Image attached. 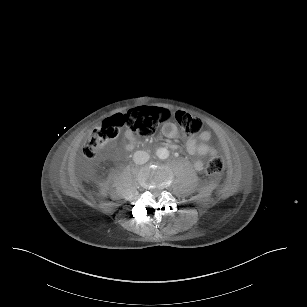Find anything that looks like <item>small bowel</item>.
<instances>
[{
	"label": "small bowel",
	"instance_id": "small-bowel-1",
	"mask_svg": "<svg viewBox=\"0 0 307 307\" xmlns=\"http://www.w3.org/2000/svg\"><path fill=\"white\" fill-rule=\"evenodd\" d=\"M163 134L168 138H174L178 135L177 127L172 123H166L162 129ZM127 146L128 148H133L137 143L135 136L128 132L126 133ZM211 139V133L207 130L201 131L198 136L190 137L186 143V149L191 155L204 156L207 154H215L216 149L209 146L207 143ZM171 149H176L177 145L170 144ZM196 170L201 171L203 169V163L200 160H197L194 163Z\"/></svg>",
	"mask_w": 307,
	"mask_h": 307
}]
</instances>
